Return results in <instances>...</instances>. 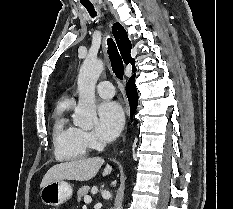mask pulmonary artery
Listing matches in <instances>:
<instances>
[{"label":"pulmonary artery","mask_w":233,"mask_h":209,"mask_svg":"<svg viewBox=\"0 0 233 209\" xmlns=\"http://www.w3.org/2000/svg\"><path fill=\"white\" fill-rule=\"evenodd\" d=\"M97 93L103 98H111L115 94L114 87L109 81H101L96 86Z\"/></svg>","instance_id":"pulmonary-artery-1"}]
</instances>
